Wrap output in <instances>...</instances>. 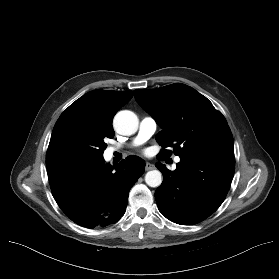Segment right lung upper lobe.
<instances>
[{"instance_id": "right-lung-upper-lobe-1", "label": "right lung upper lobe", "mask_w": 279, "mask_h": 279, "mask_svg": "<svg viewBox=\"0 0 279 279\" xmlns=\"http://www.w3.org/2000/svg\"><path fill=\"white\" fill-rule=\"evenodd\" d=\"M133 97L132 91H91L72 103L56 124L70 119L81 120L106 135H113L111 123L117 111Z\"/></svg>"}]
</instances>
